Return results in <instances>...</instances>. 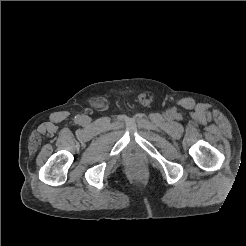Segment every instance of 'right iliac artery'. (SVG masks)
<instances>
[{
	"mask_svg": "<svg viewBox=\"0 0 246 246\" xmlns=\"http://www.w3.org/2000/svg\"><path fill=\"white\" fill-rule=\"evenodd\" d=\"M76 118V121H79L80 120V117L79 116H77V117H75Z\"/></svg>",
	"mask_w": 246,
	"mask_h": 246,
	"instance_id": "1",
	"label": "right iliac artery"
}]
</instances>
